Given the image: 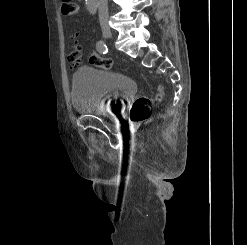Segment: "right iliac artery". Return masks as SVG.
I'll return each instance as SVG.
<instances>
[{"label":"right iliac artery","mask_w":247,"mask_h":245,"mask_svg":"<svg viewBox=\"0 0 247 245\" xmlns=\"http://www.w3.org/2000/svg\"><path fill=\"white\" fill-rule=\"evenodd\" d=\"M96 49L98 52L101 54H106L108 52L107 45L105 44L104 41L100 40L96 43Z\"/></svg>","instance_id":"1"}]
</instances>
